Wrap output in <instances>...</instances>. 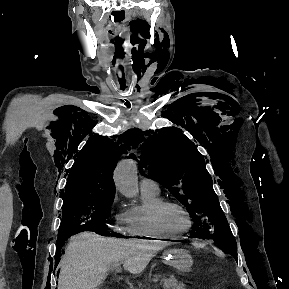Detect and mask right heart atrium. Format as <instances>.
<instances>
[{"mask_svg":"<svg viewBox=\"0 0 289 289\" xmlns=\"http://www.w3.org/2000/svg\"><path fill=\"white\" fill-rule=\"evenodd\" d=\"M120 202L119 197L117 194H114L110 200V206L115 207L118 205ZM121 224H122V215L118 217V223L113 227L115 231H120L121 230Z\"/></svg>","mask_w":289,"mask_h":289,"instance_id":"right-heart-atrium-1","label":"right heart atrium"}]
</instances>
